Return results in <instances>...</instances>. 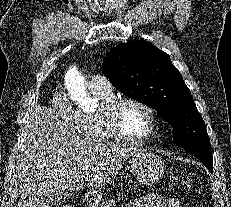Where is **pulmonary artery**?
I'll return each instance as SVG.
<instances>
[{
    "mask_svg": "<svg viewBox=\"0 0 231 207\" xmlns=\"http://www.w3.org/2000/svg\"><path fill=\"white\" fill-rule=\"evenodd\" d=\"M89 87L91 89L99 90H111L112 85L110 81L103 75H94L89 81Z\"/></svg>",
    "mask_w": 231,
    "mask_h": 207,
    "instance_id": "1",
    "label": "pulmonary artery"
}]
</instances>
